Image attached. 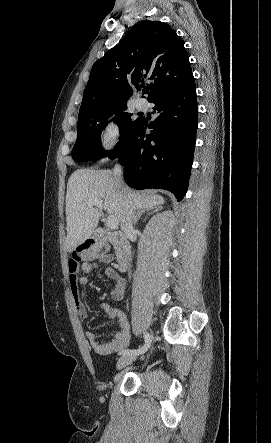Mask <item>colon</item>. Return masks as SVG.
Segmentation results:
<instances>
[{
	"mask_svg": "<svg viewBox=\"0 0 271 443\" xmlns=\"http://www.w3.org/2000/svg\"><path fill=\"white\" fill-rule=\"evenodd\" d=\"M108 255V246L99 239H89L78 246L72 255L71 261L76 264L89 262Z\"/></svg>",
	"mask_w": 271,
	"mask_h": 443,
	"instance_id": "obj_1",
	"label": "colon"
}]
</instances>
